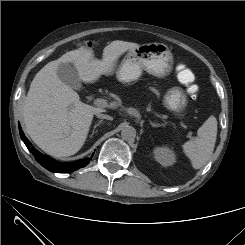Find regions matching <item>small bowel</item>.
<instances>
[{
  "label": "small bowel",
  "mask_w": 245,
  "mask_h": 245,
  "mask_svg": "<svg viewBox=\"0 0 245 245\" xmlns=\"http://www.w3.org/2000/svg\"><path fill=\"white\" fill-rule=\"evenodd\" d=\"M176 73H177L178 80L181 83H190L193 82L194 80V76L191 70L185 67V65L183 64H178L176 66Z\"/></svg>",
  "instance_id": "1"
}]
</instances>
